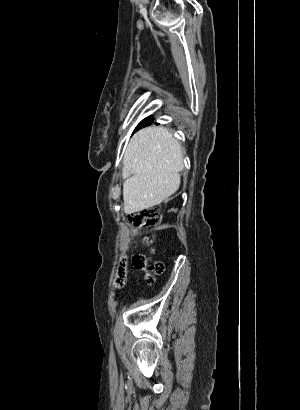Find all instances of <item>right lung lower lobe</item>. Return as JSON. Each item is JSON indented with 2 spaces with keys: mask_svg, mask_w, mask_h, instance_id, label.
<instances>
[{
  "mask_svg": "<svg viewBox=\"0 0 300 410\" xmlns=\"http://www.w3.org/2000/svg\"><path fill=\"white\" fill-rule=\"evenodd\" d=\"M151 123V119L149 118V119H147L145 122H143L142 124H140V126L142 127V126H146V125H148V124H150Z\"/></svg>",
  "mask_w": 300,
  "mask_h": 410,
  "instance_id": "98d812e1",
  "label": "right lung lower lobe"
}]
</instances>
